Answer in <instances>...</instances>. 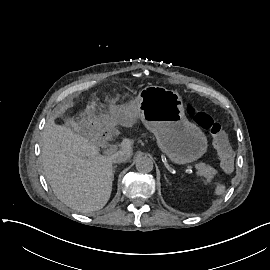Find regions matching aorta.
Here are the masks:
<instances>
[{"instance_id":"762f6f07","label":"aorta","mask_w":270,"mask_h":270,"mask_svg":"<svg viewBox=\"0 0 270 270\" xmlns=\"http://www.w3.org/2000/svg\"><path fill=\"white\" fill-rule=\"evenodd\" d=\"M136 169L141 173H148L153 169V161L146 155H139L136 158Z\"/></svg>"}]
</instances>
